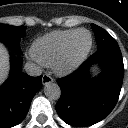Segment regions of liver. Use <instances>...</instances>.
<instances>
[{"label":"liver","instance_id":"obj_1","mask_svg":"<svg viewBox=\"0 0 128 128\" xmlns=\"http://www.w3.org/2000/svg\"><path fill=\"white\" fill-rule=\"evenodd\" d=\"M9 71V55L3 44H0V84L7 78Z\"/></svg>","mask_w":128,"mask_h":128}]
</instances>
